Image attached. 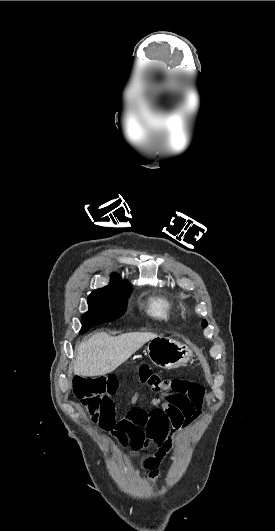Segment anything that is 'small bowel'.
<instances>
[{"instance_id":"obj_1","label":"small bowel","mask_w":275,"mask_h":531,"mask_svg":"<svg viewBox=\"0 0 275 531\" xmlns=\"http://www.w3.org/2000/svg\"><path fill=\"white\" fill-rule=\"evenodd\" d=\"M137 374L144 384L159 381V376L152 375V371L148 367L139 368ZM164 379L166 383L163 386L159 383H153L150 386V391L153 394H159L163 391L165 394L180 393L184 396L191 394L197 398L204 394L202 383H197L195 390L185 389L184 383L191 382L190 374L169 373L165 375ZM106 382V390L101 396L100 402L101 414L103 417H114L118 413L117 408H115V399L118 395L117 386H119L121 379L119 375H108ZM203 405L204 402L199 399H194L191 404L184 397L171 396L162 403L155 401L149 408L133 406L126 414L106 423L104 427L120 445L124 446L129 441L134 450H139L148 444L145 437L162 444L161 448L153 454L139 457V463L148 470L149 478L155 479L159 476V465L163 458L171 452L178 436L200 416L198 409Z\"/></svg>"}]
</instances>
